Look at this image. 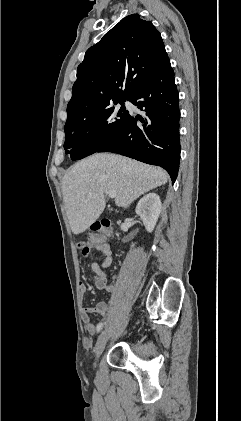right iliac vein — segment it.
<instances>
[{
  "label": "right iliac vein",
  "mask_w": 241,
  "mask_h": 421,
  "mask_svg": "<svg viewBox=\"0 0 241 421\" xmlns=\"http://www.w3.org/2000/svg\"><path fill=\"white\" fill-rule=\"evenodd\" d=\"M108 339H109V331L106 329V330L101 332V334L99 335L98 340L96 342V345L94 347V356H95L94 365H96V362H97L98 358L103 353Z\"/></svg>",
  "instance_id": "63e3f726"
}]
</instances>
